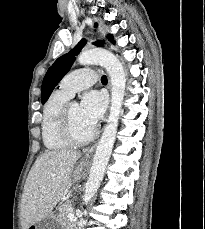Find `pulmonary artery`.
Here are the masks:
<instances>
[{
	"label": "pulmonary artery",
	"mask_w": 205,
	"mask_h": 229,
	"mask_svg": "<svg viewBox=\"0 0 205 229\" xmlns=\"http://www.w3.org/2000/svg\"><path fill=\"white\" fill-rule=\"evenodd\" d=\"M97 81L95 71L90 68L77 69L67 74L59 85V90L69 97L83 90Z\"/></svg>",
	"instance_id": "pulmonary-artery-1"
}]
</instances>
